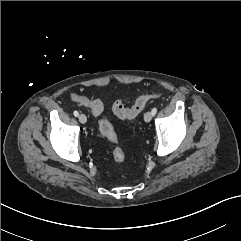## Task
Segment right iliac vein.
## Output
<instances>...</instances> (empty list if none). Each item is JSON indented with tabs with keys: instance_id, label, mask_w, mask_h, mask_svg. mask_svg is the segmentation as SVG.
<instances>
[{
	"instance_id": "1",
	"label": "right iliac vein",
	"mask_w": 241,
	"mask_h": 241,
	"mask_svg": "<svg viewBox=\"0 0 241 241\" xmlns=\"http://www.w3.org/2000/svg\"><path fill=\"white\" fill-rule=\"evenodd\" d=\"M80 123L85 124L87 122V117L84 114L78 116Z\"/></svg>"
}]
</instances>
